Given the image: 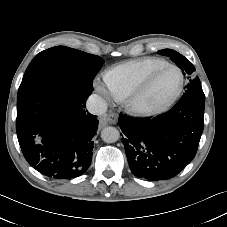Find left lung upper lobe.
<instances>
[{"mask_svg":"<svg viewBox=\"0 0 227 227\" xmlns=\"http://www.w3.org/2000/svg\"><path fill=\"white\" fill-rule=\"evenodd\" d=\"M158 52L160 54L169 56L170 59L180 69H182L183 74L188 76L189 83L186 85L185 93L179 102L198 101L205 103V95L203 93L199 78L194 74L195 68L193 64L187 58L172 49H163Z\"/></svg>","mask_w":227,"mask_h":227,"instance_id":"left-lung-upper-lobe-1","label":"left lung upper lobe"}]
</instances>
